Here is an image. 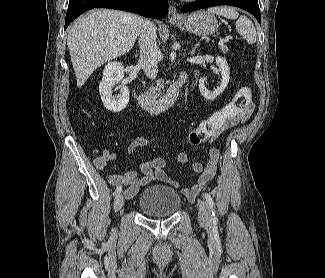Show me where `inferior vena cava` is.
Masks as SVG:
<instances>
[{"instance_id": "602c4592", "label": "inferior vena cava", "mask_w": 325, "mask_h": 278, "mask_svg": "<svg viewBox=\"0 0 325 278\" xmlns=\"http://www.w3.org/2000/svg\"><path fill=\"white\" fill-rule=\"evenodd\" d=\"M140 59L146 76L155 79L158 73L159 49L157 46V33L154 23L145 20L139 32Z\"/></svg>"}]
</instances>
